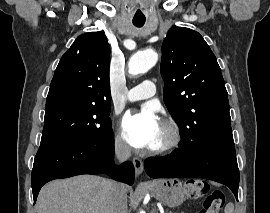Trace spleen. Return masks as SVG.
<instances>
[{
  "label": "spleen",
  "mask_w": 270,
  "mask_h": 213,
  "mask_svg": "<svg viewBox=\"0 0 270 213\" xmlns=\"http://www.w3.org/2000/svg\"><path fill=\"white\" fill-rule=\"evenodd\" d=\"M225 213H234V206L233 204H227L225 208Z\"/></svg>",
  "instance_id": "spleen-1"
}]
</instances>
